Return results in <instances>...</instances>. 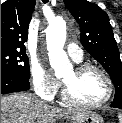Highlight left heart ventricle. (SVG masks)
I'll return each instance as SVG.
<instances>
[{
  "label": "left heart ventricle",
  "instance_id": "1",
  "mask_svg": "<svg viewBox=\"0 0 122 123\" xmlns=\"http://www.w3.org/2000/svg\"><path fill=\"white\" fill-rule=\"evenodd\" d=\"M63 81L71 88L74 96L84 102H100L108 94L105 79L94 70L78 75L73 69L63 77Z\"/></svg>",
  "mask_w": 122,
  "mask_h": 123
}]
</instances>
